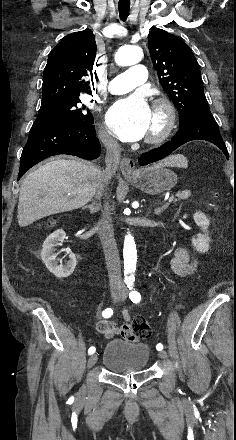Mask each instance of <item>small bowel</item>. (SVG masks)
Returning a JSON list of instances; mask_svg holds the SVG:
<instances>
[{"label": "small bowel", "instance_id": "1", "mask_svg": "<svg viewBox=\"0 0 236 440\" xmlns=\"http://www.w3.org/2000/svg\"><path fill=\"white\" fill-rule=\"evenodd\" d=\"M197 264V259L185 248L177 247L174 250L171 268L175 274L183 277L192 275L196 271ZM51 291L56 294L55 290ZM124 318L127 321H117V323L107 320L98 321L97 328L106 337L118 333L122 342H131L132 339L136 338L137 333L133 330V325L128 323L130 316L127 311H124Z\"/></svg>", "mask_w": 236, "mask_h": 440}]
</instances>
